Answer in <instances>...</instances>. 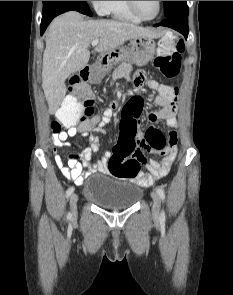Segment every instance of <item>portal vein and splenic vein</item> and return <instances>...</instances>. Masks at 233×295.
<instances>
[{"mask_svg":"<svg viewBox=\"0 0 233 295\" xmlns=\"http://www.w3.org/2000/svg\"><path fill=\"white\" fill-rule=\"evenodd\" d=\"M99 43V40L98 39H95L92 41V46H96L97 44Z\"/></svg>","mask_w":233,"mask_h":295,"instance_id":"obj_1","label":"portal vein and splenic vein"}]
</instances>
